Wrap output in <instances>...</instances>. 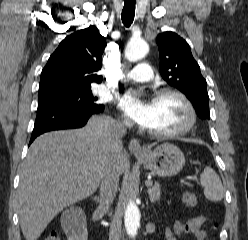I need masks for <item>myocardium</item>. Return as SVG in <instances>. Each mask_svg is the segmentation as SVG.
<instances>
[{
  "instance_id": "myocardium-1",
  "label": "myocardium",
  "mask_w": 248,
  "mask_h": 240,
  "mask_svg": "<svg viewBox=\"0 0 248 240\" xmlns=\"http://www.w3.org/2000/svg\"><path fill=\"white\" fill-rule=\"evenodd\" d=\"M164 96H174L178 98L183 103L186 109L187 119L181 127L175 130L172 131L149 130V133L159 138H174L188 133L195 126L197 122V113L192 102L185 93L175 88H162L156 92V98L164 97Z\"/></svg>"
}]
</instances>
